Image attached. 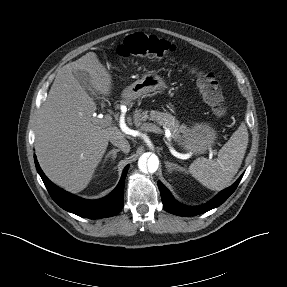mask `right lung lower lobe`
<instances>
[{
	"mask_svg": "<svg viewBox=\"0 0 287 287\" xmlns=\"http://www.w3.org/2000/svg\"><path fill=\"white\" fill-rule=\"evenodd\" d=\"M34 161L36 169L51 198L66 211L85 218L99 219L114 216L122 210L124 201V181L127 175L128 166L125 167L118 185L108 196L98 200H86L54 185L41 170L36 156H34Z\"/></svg>",
	"mask_w": 287,
	"mask_h": 287,
	"instance_id": "1",
	"label": "right lung lower lobe"
}]
</instances>
